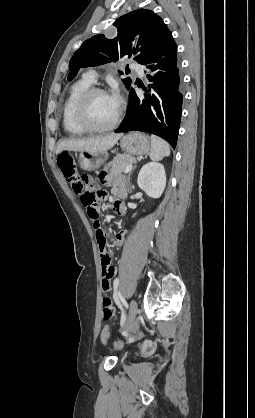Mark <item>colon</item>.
<instances>
[{"label": "colon", "mask_w": 255, "mask_h": 418, "mask_svg": "<svg viewBox=\"0 0 255 418\" xmlns=\"http://www.w3.org/2000/svg\"><path fill=\"white\" fill-rule=\"evenodd\" d=\"M58 166L62 171L64 177L69 182L72 190L74 193L80 196L82 203L84 204L87 214L89 218L92 220L96 236L102 235L104 236L106 233L101 228L100 223L98 221L99 216V201L102 199L105 194L103 192H94V184L91 178L87 175L80 176L77 172L75 162L73 158L67 154L63 153L60 155L58 159ZM141 333L130 334L127 336V341H132L138 337H140ZM109 336V329L108 327H104L101 332V338L104 342L107 341ZM123 346V341L119 340L114 343L115 348H121Z\"/></svg>", "instance_id": "colon-1"}]
</instances>
